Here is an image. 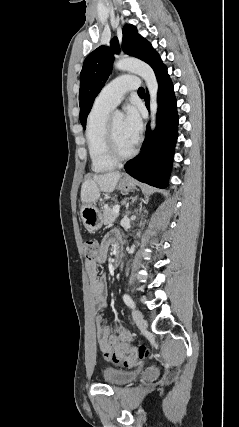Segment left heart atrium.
Returning a JSON list of instances; mask_svg holds the SVG:
<instances>
[{
  "label": "left heart atrium",
  "instance_id": "obj_1",
  "mask_svg": "<svg viewBox=\"0 0 239 427\" xmlns=\"http://www.w3.org/2000/svg\"><path fill=\"white\" fill-rule=\"evenodd\" d=\"M123 128L130 141L136 144L142 130L141 117L136 107H127L123 117Z\"/></svg>",
  "mask_w": 239,
  "mask_h": 427
}]
</instances>
